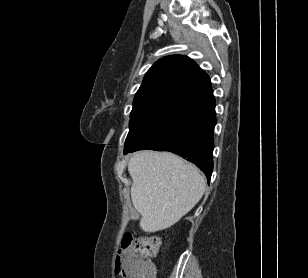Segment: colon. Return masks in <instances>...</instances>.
Here are the masks:
<instances>
[{"label":"colon","instance_id":"colon-1","mask_svg":"<svg viewBox=\"0 0 308 278\" xmlns=\"http://www.w3.org/2000/svg\"><path fill=\"white\" fill-rule=\"evenodd\" d=\"M161 244L159 237L126 234L115 259V272L123 278H153L150 259L157 255Z\"/></svg>","mask_w":308,"mask_h":278}]
</instances>
